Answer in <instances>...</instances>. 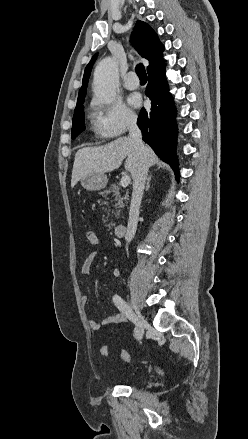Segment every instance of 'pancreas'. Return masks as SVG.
<instances>
[{"instance_id": "cf45deb5", "label": "pancreas", "mask_w": 248, "mask_h": 439, "mask_svg": "<svg viewBox=\"0 0 248 439\" xmlns=\"http://www.w3.org/2000/svg\"><path fill=\"white\" fill-rule=\"evenodd\" d=\"M119 189H120V187H119L118 184H112L108 189H106V190H104V191L102 192V195H105V196L108 195V194L111 193V192H114V193H115V195H116V198H115V201H116L115 206H116L117 208H121V207H123V206H124L123 200H124V199L126 200V199L128 198V195H126L124 198L121 197V196H120ZM113 226H115V223H113V222H111L110 224H108V227H109V228H111V227H113Z\"/></svg>"}]
</instances>
